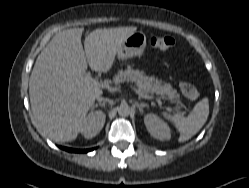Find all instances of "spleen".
<instances>
[{
	"label": "spleen",
	"instance_id": "spleen-1",
	"mask_svg": "<svg viewBox=\"0 0 249 188\" xmlns=\"http://www.w3.org/2000/svg\"><path fill=\"white\" fill-rule=\"evenodd\" d=\"M162 115L175 124L180 133L178 141H187L192 138L205 124L209 115L208 99L204 98L199 101L187 117L171 116L165 112L162 113Z\"/></svg>",
	"mask_w": 249,
	"mask_h": 188
}]
</instances>
